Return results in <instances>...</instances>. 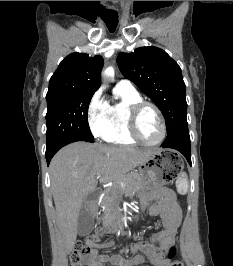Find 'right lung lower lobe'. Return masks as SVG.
Masks as SVG:
<instances>
[{"label":"right lung lower lobe","instance_id":"obj_1","mask_svg":"<svg viewBox=\"0 0 233 266\" xmlns=\"http://www.w3.org/2000/svg\"><path fill=\"white\" fill-rule=\"evenodd\" d=\"M76 141H87V142H94L93 139L91 138H87V137H77L74 139H71L69 141L63 142L60 145L53 147L52 149H47L46 150V160H47V164L49 165L51 158L54 156V154L63 146L72 143V142H76Z\"/></svg>","mask_w":233,"mask_h":266}]
</instances>
